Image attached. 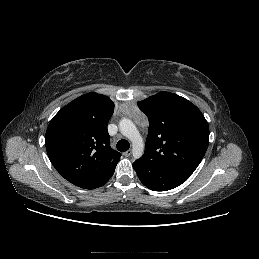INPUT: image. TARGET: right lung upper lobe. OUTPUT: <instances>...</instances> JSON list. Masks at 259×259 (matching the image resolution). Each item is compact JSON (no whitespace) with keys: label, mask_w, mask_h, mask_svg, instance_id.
<instances>
[{"label":"right lung upper lobe","mask_w":259,"mask_h":259,"mask_svg":"<svg viewBox=\"0 0 259 259\" xmlns=\"http://www.w3.org/2000/svg\"><path fill=\"white\" fill-rule=\"evenodd\" d=\"M113 111L110 98L88 93L63 107L49 123L48 157L70 183L94 189L113 175L121 156L109 145L107 124Z\"/></svg>","instance_id":"obj_1"}]
</instances>
